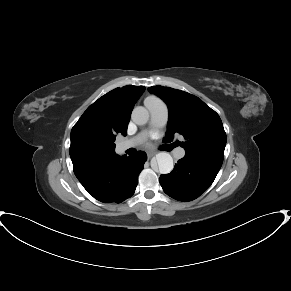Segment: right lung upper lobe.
Segmentation results:
<instances>
[{
    "label": "right lung upper lobe",
    "mask_w": 291,
    "mask_h": 291,
    "mask_svg": "<svg viewBox=\"0 0 291 291\" xmlns=\"http://www.w3.org/2000/svg\"><path fill=\"white\" fill-rule=\"evenodd\" d=\"M144 90L133 85L116 88L87 108L71 130L73 166L116 155V135H126L132 109Z\"/></svg>",
    "instance_id": "cb5924a9"
}]
</instances>
